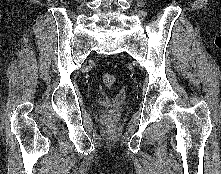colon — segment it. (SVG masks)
I'll use <instances>...</instances> for the list:
<instances>
[{"instance_id":"obj_1","label":"colon","mask_w":221,"mask_h":174,"mask_svg":"<svg viewBox=\"0 0 221 174\" xmlns=\"http://www.w3.org/2000/svg\"><path fill=\"white\" fill-rule=\"evenodd\" d=\"M102 79L104 85L107 86L108 88L113 87L116 83V77L111 73H105Z\"/></svg>"}]
</instances>
